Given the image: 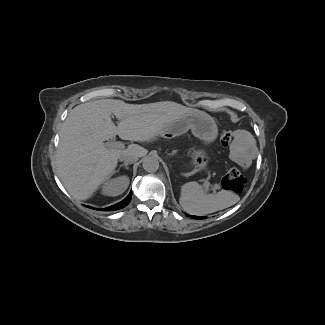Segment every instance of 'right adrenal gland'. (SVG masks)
Instances as JSON below:
<instances>
[{"label":"right adrenal gland","mask_w":325,"mask_h":325,"mask_svg":"<svg viewBox=\"0 0 325 325\" xmlns=\"http://www.w3.org/2000/svg\"><path fill=\"white\" fill-rule=\"evenodd\" d=\"M123 166H125L126 169H128V163H123V164H121L119 167H123Z\"/></svg>","instance_id":"2a0ac1e0"}]
</instances>
